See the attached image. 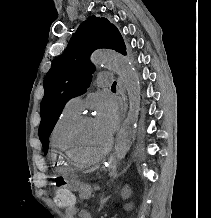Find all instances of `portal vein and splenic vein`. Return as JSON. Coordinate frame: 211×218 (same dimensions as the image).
Segmentation results:
<instances>
[{"label": "portal vein and splenic vein", "instance_id": "obj_1", "mask_svg": "<svg viewBox=\"0 0 211 218\" xmlns=\"http://www.w3.org/2000/svg\"><path fill=\"white\" fill-rule=\"evenodd\" d=\"M96 188H97V189H101V186H97Z\"/></svg>", "mask_w": 211, "mask_h": 218}]
</instances>
